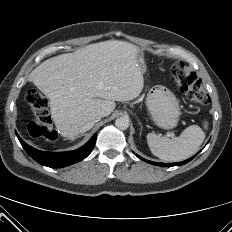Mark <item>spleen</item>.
<instances>
[{"label": "spleen", "mask_w": 232, "mask_h": 232, "mask_svg": "<svg viewBox=\"0 0 232 232\" xmlns=\"http://www.w3.org/2000/svg\"><path fill=\"white\" fill-rule=\"evenodd\" d=\"M207 127V122L204 123ZM205 139V132L198 125L187 127L179 137L172 139L155 133L147 135V143L153 155L163 161L176 162L189 158Z\"/></svg>", "instance_id": "1"}]
</instances>
